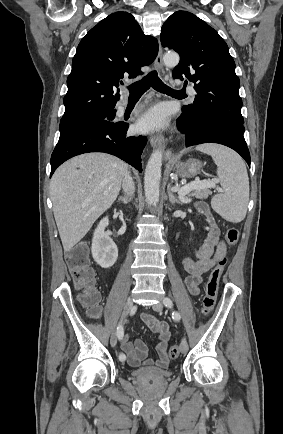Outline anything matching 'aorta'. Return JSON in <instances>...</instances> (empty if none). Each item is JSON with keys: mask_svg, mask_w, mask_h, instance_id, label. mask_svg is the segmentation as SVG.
Here are the masks:
<instances>
[{"mask_svg": "<svg viewBox=\"0 0 283 434\" xmlns=\"http://www.w3.org/2000/svg\"><path fill=\"white\" fill-rule=\"evenodd\" d=\"M165 65L174 67L179 63L177 53H167L163 57ZM162 151L157 149L152 153L147 163L144 177L145 196L150 205L159 202V185L161 180Z\"/></svg>", "mask_w": 283, "mask_h": 434, "instance_id": "1", "label": "aorta"}]
</instances>
